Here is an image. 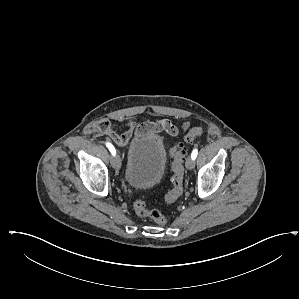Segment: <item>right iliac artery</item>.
Returning <instances> with one entry per match:
<instances>
[{
	"label": "right iliac artery",
	"mask_w": 299,
	"mask_h": 299,
	"mask_svg": "<svg viewBox=\"0 0 299 299\" xmlns=\"http://www.w3.org/2000/svg\"><path fill=\"white\" fill-rule=\"evenodd\" d=\"M105 144H106V146L108 147V149H109V151L111 152V154H112L113 156H115V154H116V150H115L114 146H113L111 143H109V142H106Z\"/></svg>",
	"instance_id": "1"
}]
</instances>
